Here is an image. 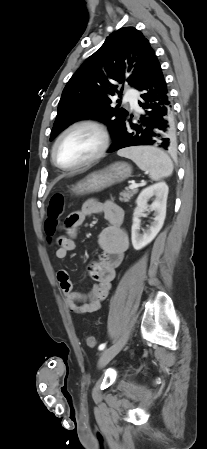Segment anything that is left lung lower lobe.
I'll list each match as a JSON object with an SVG mask.
<instances>
[{
  "label": "left lung lower lobe",
  "mask_w": 207,
  "mask_h": 449,
  "mask_svg": "<svg viewBox=\"0 0 207 449\" xmlns=\"http://www.w3.org/2000/svg\"><path fill=\"white\" fill-rule=\"evenodd\" d=\"M143 92L139 105L145 110L138 124L127 118L108 152L124 147L154 145L165 150L176 148V124L171 96L158 60L138 89Z\"/></svg>",
  "instance_id": "obj_1"
}]
</instances>
